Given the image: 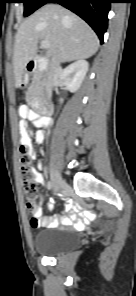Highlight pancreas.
<instances>
[{
	"label": "pancreas",
	"instance_id": "cf45deb5",
	"mask_svg": "<svg viewBox=\"0 0 136 296\" xmlns=\"http://www.w3.org/2000/svg\"><path fill=\"white\" fill-rule=\"evenodd\" d=\"M41 83L42 82L38 76L33 78L32 84L30 85L27 91L28 98L38 97L40 92L43 90Z\"/></svg>",
	"mask_w": 136,
	"mask_h": 296
}]
</instances>
